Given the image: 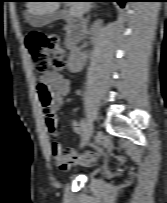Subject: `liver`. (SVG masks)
<instances>
[{"label": "liver", "instance_id": "obj_1", "mask_svg": "<svg viewBox=\"0 0 167 203\" xmlns=\"http://www.w3.org/2000/svg\"><path fill=\"white\" fill-rule=\"evenodd\" d=\"M26 6L30 13L42 15L55 12L60 6V2H27ZM69 6V15L79 18L89 11L92 5L90 2L77 1L70 2Z\"/></svg>", "mask_w": 167, "mask_h": 203}]
</instances>
